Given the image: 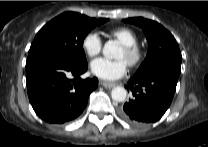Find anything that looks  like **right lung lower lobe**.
<instances>
[{"label":"right lung lower lobe","mask_w":208,"mask_h":147,"mask_svg":"<svg viewBox=\"0 0 208 147\" xmlns=\"http://www.w3.org/2000/svg\"><path fill=\"white\" fill-rule=\"evenodd\" d=\"M88 64L79 65L63 58H46L26 64V84L36 114L48 123L63 124L85 109L97 78L81 79Z\"/></svg>","instance_id":"98d812e1"}]
</instances>
